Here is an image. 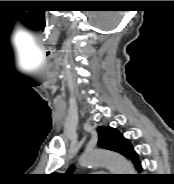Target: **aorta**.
<instances>
[{
  "instance_id": "1",
  "label": "aorta",
  "mask_w": 174,
  "mask_h": 184,
  "mask_svg": "<svg viewBox=\"0 0 174 184\" xmlns=\"http://www.w3.org/2000/svg\"><path fill=\"white\" fill-rule=\"evenodd\" d=\"M79 162L84 167L104 165L113 174H134L131 164L120 154L106 150H90L83 153Z\"/></svg>"
}]
</instances>
